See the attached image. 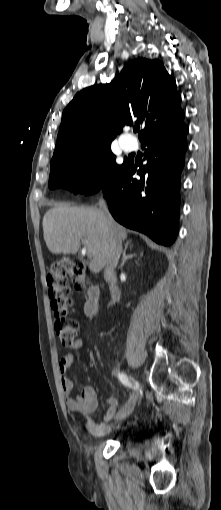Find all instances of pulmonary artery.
<instances>
[{
	"label": "pulmonary artery",
	"mask_w": 221,
	"mask_h": 510,
	"mask_svg": "<svg viewBox=\"0 0 221 510\" xmlns=\"http://www.w3.org/2000/svg\"><path fill=\"white\" fill-rule=\"evenodd\" d=\"M123 149H125L126 151H130L134 148V144H133V141L129 138H123L121 141H120Z\"/></svg>",
	"instance_id": "obj_1"
}]
</instances>
